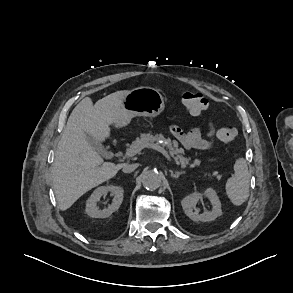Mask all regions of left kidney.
Instances as JSON below:
<instances>
[{
  "label": "left kidney",
  "mask_w": 293,
  "mask_h": 293,
  "mask_svg": "<svg viewBox=\"0 0 293 293\" xmlns=\"http://www.w3.org/2000/svg\"><path fill=\"white\" fill-rule=\"evenodd\" d=\"M206 197L210 201L212 208L210 211H205L199 214L198 210H195V206L199 201H202ZM182 208L185 214L193 221H213L222 214L221 202L213 188L206 189L204 195L194 192L181 201Z\"/></svg>",
  "instance_id": "left-kidney-1"
}]
</instances>
